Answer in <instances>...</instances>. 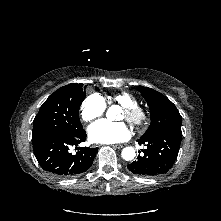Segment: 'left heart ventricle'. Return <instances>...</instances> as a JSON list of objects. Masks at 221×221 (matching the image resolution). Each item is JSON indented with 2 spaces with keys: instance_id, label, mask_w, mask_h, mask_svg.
<instances>
[{
  "instance_id": "b2bd125f",
  "label": "left heart ventricle",
  "mask_w": 221,
  "mask_h": 221,
  "mask_svg": "<svg viewBox=\"0 0 221 221\" xmlns=\"http://www.w3.org/2000/svg\"><path fill=\"white\" fill-rule=\"evenodd\" d=\"M122 119L124 118L125 119V117H126V115H125V113L124 112H122Z\"/></svg>"
}]
</instances>
